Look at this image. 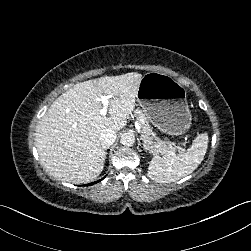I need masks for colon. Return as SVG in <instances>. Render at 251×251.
Segmentation results:
<instances>
[{
	"instance_id": "colon-1",
	"label": "colon",
	"mask_w": 251,
	"mask_h": 251,
	"mask_svg": "<svg viewBox=\"0 0 251 251\" xmlns=\"http://www.w3.org/2000/svg\"><path fill=\"white\" fill-rule=\"evenodd\" d=\"M167 137H180L181 133L180 132H173V133H166L165 134Z\"/></svg>"
}]
</instances>
